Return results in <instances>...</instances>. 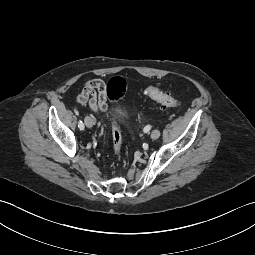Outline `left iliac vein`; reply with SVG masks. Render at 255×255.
Listing matches in <instances>:
<instances>
[{
    "label": "left iliac vein",
    "instance_id": "obj_1",
    "mask_svg": "<svg viewBox=\"0 0 255 255\" xmlns=\"http://www.w3.org/2000/svg\"><path fill=\"white\" fill-rule=\"evenodd\" d=\"M160 134H161V133H160V130L155 129V130H153L152 133H151V138L154 139V140H155V139H158L159 136H160Z\"/></svg>",
    "mask_w": 255,
    "mask_h": 255
}]
</instances>
